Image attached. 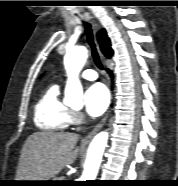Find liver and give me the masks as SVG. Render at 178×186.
Listing matches in <instances>:
<instances>
[{
	"label": "liver",
	"mask_w": 178,
	"mask_h": 186,
	"mask_svg": "<svg viewBox=\"0 0 178 186\" xmlns=\"http://www.w3.org/2000/svg\"><path fill=\"white\" fill-rule=\"evenodd\" d=\"M74 133L41 131L25 141L16 172L17 181H47L74 163L79 148Z\"/></svg>",
	"instance_id": "liver-1"
}]
</instances>
